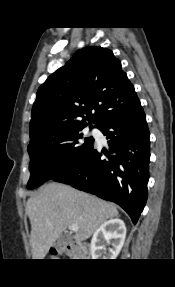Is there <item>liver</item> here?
Segmentation results:
<instances>
[{
	"label": "liver",
	"mask_w": 175,
	"mask_h": 287,
	"mask_svg": "<svg viewBox=\"0 0 175 287\" xmlns=\"http://www.w3.org/2000/svg\"><path fill=\"white\" fill-rule=\"evenodd\" d=\"M33 259H44L63 231L77 224L74 239L87 240L100 225L118 216L117 208L71 186L51 182L27 201Z\"/></svg>",
	"instance_id": "obj_1"
}]
</instances>
